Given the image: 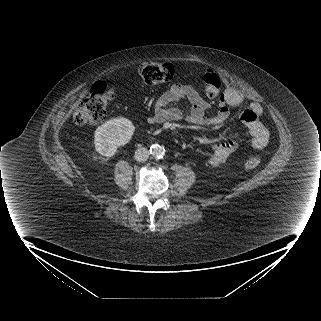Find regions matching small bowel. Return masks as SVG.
Returning <instances> with one entry per match:
<instances>
[{
  "label": "small bowel",
  "mask_w": 321,
  "mask_h": 321,
  "mask_svg": "<svg viewBox=\"0 0 321 321\" xmlns=\"http://www.w3.org/2000/svg\"><path fill=\"white\" fill-rule=\"evenodd\" d=\"M187 100L191 109L188 115L177 108H167L174 101ZM243 96L236 90H228L218 102L217 112L214 116L206 115L210 108L209 103L199 92L189 85L175 84L169 90L159 95L153 105V112L147 121L149 124L179 121L186 119L197 125L217 126L225 123L231 116V108L239 106ZM262 106L257 102H251L248 108L239 114L240 122L247 128L251 137V147L254 150H262L269 141V131L261 121ZM237 148V142L227 140L216 144L208 158L211 167L221 165Z\"/></svg>",
  "instance_id": "c3829d8e"
}]
</instances>
